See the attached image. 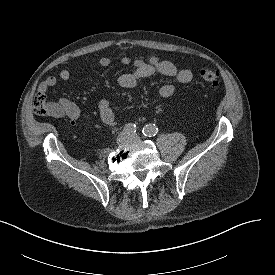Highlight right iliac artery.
I'll return each instance as SVG.
<instances>
[{
  "label": "right iliac artery",
  "mask_w": 275,
  "mask_h": 275,
  "mask_svg": "<svg viewBox=\"0 0 275 275\" xmlns=\"http://www.w3.org/2000/svg\"><path fill=\"white\" fill-rule=\"evenodd\" d=\"M124 131L128 134H135L137 131V127L135 124L128 123L124 126Z\"/></svg>",
  "instance_id": "1"
}]
</instances>
